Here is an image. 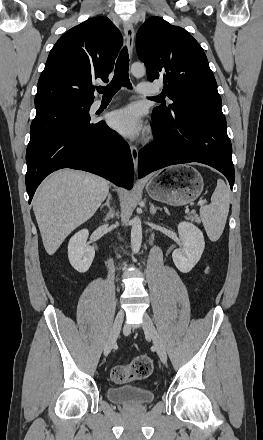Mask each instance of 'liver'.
<instances>
[{
    "mask_svg": "<svg viewBox=\"0 0 263 440\" xmlns=\"http://www.w3.org/2000/svg\"><path fill=\"white\" fill-rule=\"evenodd\" d=\"M109 193V182L83 171L63 169L38 188L33 211L46 252L53 255L65 238L90 219Z\"/></svg>",
    "mask_w": 263,
    "mask_h": 440,
    "instance_id": "6515ba94",
    "label": "liver"
}]
</instances>
